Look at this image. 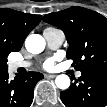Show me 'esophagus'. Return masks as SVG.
Segmentation results:
<instances>
[{"label":"esophagus","instance_id":"esophagus-1","mask_svg":"<svg viewBox=\"0 0 107 107\" xmlns=\"http://www.w3.org/2000/svg\"><path fill=\"white\" fill-rule=\"evenodd\" d=\"M46 78H55L56 75L55 74H45Z\"/></svg>","mask_w":107,"mask_h":107}]
</instances>
